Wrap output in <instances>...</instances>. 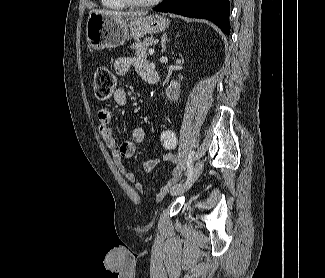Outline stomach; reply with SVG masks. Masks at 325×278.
I'll return each instance as SVG.
<instances>
[{
    "instance_id": "obj_1",
    "label": "stomach",
    "mask_w": 325,
    "mask_h": 278,
    "mask_svg": "<svg viewBox=\"0 0 325 278\" xmlns=\"http://www.w3.org/2000/svg\"><path fill=\"white\" fill-rule=\"evenodd\" d=\"M169 24L168 19L158 14L143 18L132 17L125 21L122 18L92 12L86 24V39L95 50L115 48L123 45L129 37L139 40L147 33L164 31Z\"/></svg>"
}]
</instances>
